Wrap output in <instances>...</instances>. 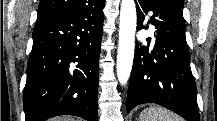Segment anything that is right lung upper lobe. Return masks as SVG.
<instances>
[{
  "label": "right lung upper lobe",
  "mask_w": 217,
  "mask_h": 121,
  "mask_svg": "<svg viewBox=\"0 0 217 121\" xmlns=\"http://www.w3.org/2000/svg\"><path fill=\"white\" fill-rule=\"evenodd\" d=\"M87 0H41L38 8L37 19L77 10L86 4Z\"/></svg>",
  "instance_id": "right-lung-upper-lobe-1"
}]
</instances>
